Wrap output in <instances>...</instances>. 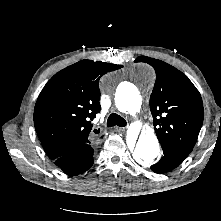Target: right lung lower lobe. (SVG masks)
Returning a JSON list of instances; mask_svg holds the SVG:
<instances>
[{
	"instance_id": "1",
	"label": "right lung lower lobe",
	"mask_w": 221,
	"mask_h": 221,
	"mask_svg": "<svg viewBox=\"0 0 221 221\" xmlns=\"http://www.w3.org/2000/svg\"><path fill=\"white\" fill-rule=\"evenodd\" d=\"M92 142L78 146L70 152L54 160L65 173L78 175L87 171L94 163Z\"/></svg>"
}]
</instances>
